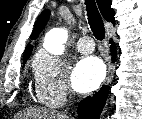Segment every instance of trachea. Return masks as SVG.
<instances>
[{
	"instance_id": "3493384b",
	"label": "trachea",
	"mask_w": 142,
	"mask_h": 119,
	"mask_svg": "<svg viewBox=\"0 0 142 119\" xmlns=\"http://www.w3.org/2000/svg\"><path fill=\"white\" fill-rule=\"evenodd\" d=\"M85 4L90 28L94 36L98 40H103L105 37V29L102 17L98 11L96 3L94 0H86Z\"/></svg>"
}]
</instances>
